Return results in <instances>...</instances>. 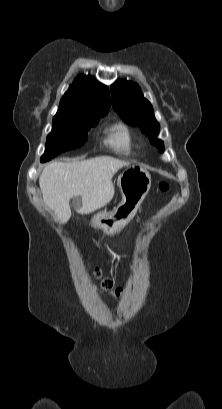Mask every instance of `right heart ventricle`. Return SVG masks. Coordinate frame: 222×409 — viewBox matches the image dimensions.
I'll use <instances>...</instances> for the list:
<instances>
[{
    "instance_id": "obj_1",
    "label": "right heart ventricle",
    "mask_w": 222,
    "mask_h": 409,
    "mask_svg": "<svg viewBox=\"0 0 222 409\" xmlns=\"http://www.w3.org/2000/svg\"><path fill=\"white\" fill-rule=\"evenodd\" d=\"M109 144L124 153H130L132 143L129 129L124 125H115L110 130Z\"/></svg>"
}]
</instances>
